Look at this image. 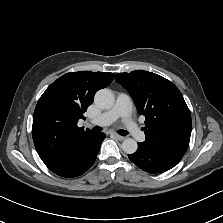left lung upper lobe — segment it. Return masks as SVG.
I'll use <instances>...</instances> for the list:
<instances>
[{
    "mask_svg": "<svg viewBox=\"0 0 223 223\" xmlns=\"http://www.w3.org/2000/svg\"><path fill=\"white\" fill-rule=\"evenodd\" d=\"M116 82L133 98L146 118V142L185 154L191 136V115L179 89L166 78L148 71L118 73Z\"/></svg>",
    "mask_w": 223,
    "mask_h": 223,
    "instance_id": "5c2ea615",
    "label": "left lung upper lobe"
}]
</instances>
